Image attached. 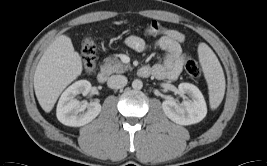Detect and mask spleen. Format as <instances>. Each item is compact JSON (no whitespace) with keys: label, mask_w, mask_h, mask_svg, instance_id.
Wrapping results in <instances>:
<instances>
[{"label":"spleen","mask_w":267,"mask_h":166,"mask_svg":"<svg viewBox=\"0 0 267 166\" xmlns=\"http://www.w3.org/2000/svg\"><path fill=\"white\" fill-rule=\"evenodd\" d=\"M198 52L208 84L210 107L216 109L221 104L225 94L226 84L223 69L215 54L206 44H200Z\"/></svg>","instance_id":"3e777b00"}]
</instances>
